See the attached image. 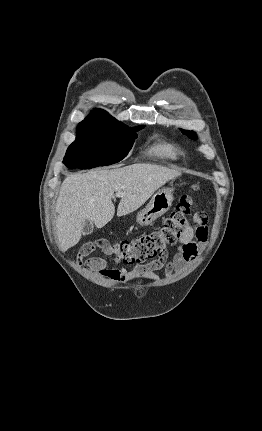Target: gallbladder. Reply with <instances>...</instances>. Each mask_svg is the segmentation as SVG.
Instances as JSON below:
<instances>
[{
  "label": "gallbladder",
  "mask_w": 262,
  "mask_h": 431,
  "mask_svg": "<svg viewBox=\"0 0 262 431\" xmlns=\"http://www.w3.org/2000/svg\"><path fill=\"white\" fill-rule=\"evenodd\" d=\"M93 223L89 220H85L82 227L83 236L90 235L93 232Z\"/></svg>",
  "instance_id": "obj_1"
}]
</instances>
